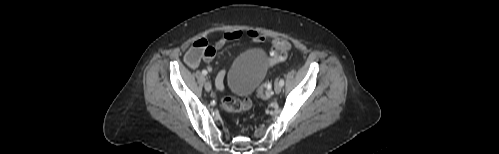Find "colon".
<instances>
[{
  "mask_svg": "<svg viewBox=\"0 0 499 154\" xmlns=\"http://www.w3.org/2000/svg\"><path fill=\"white\" fill-rule=\"evenodd\" d=\"M290 44L286 40L276 38L273 41V50L270 64H275L286 59ZM215 49L208 45L205 39L196 40L187 53V59L190 64L198 62L200 59H212ZM258 96L267 100L271 96V85L268 82L263 83L258 89ZM220 107L226 112H244L252 108V101L249 98L225 97Z\"/></svg>",
  "mask_w": 499,
  "mask_h": 154,
  "instance_id": "obj_1",
  "label": "colon"
}]
</instances>
